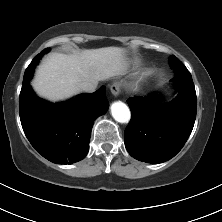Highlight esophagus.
<instances>
[{"instance_id":"1","label":"esophagus","mask_w":222,"mask_h":222,"mask_svg":"<svg viewBox=\"0 0 222 222\" xmlns=\"http://www.w3.org/2000/svg\"><path fill=\"white\" fill-rule=\"evenodd\" d=\"M110 90L114 96H118L120 93V85L118 83H114L110 86Z\"/></svg>"}]
</instances>
